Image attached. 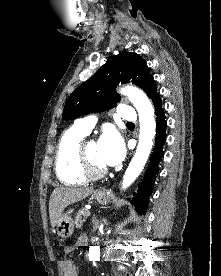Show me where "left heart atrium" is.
Listing matches in <instances>:
<instances>
[{
  "instance_id": "obj_1",
  "label": "left heart atrium",
  "mask_w": 221,
  "mask_h": 276,
  "mask_svg": "<svg viewBox=\"0 0 221 276\" xmlns=\"http://www.w3.org/2000/svg\"><path fill=\"white\" fill-rule=\"evenodd\" d=\"M98 154L106 166L118 164L125 155L121 136L114 130H106L98 142Z\"/></svg>"
}]
</instances>
